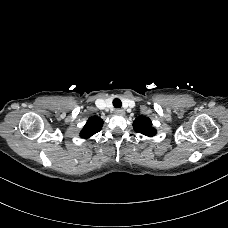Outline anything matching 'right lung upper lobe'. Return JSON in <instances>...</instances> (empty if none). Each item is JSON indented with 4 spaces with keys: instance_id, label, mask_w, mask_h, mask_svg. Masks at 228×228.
<instances>
[{
    "instance_id": "1",
    "label": "right lung upper lobe",
    "mask_w": 228,
    "mask_h": 228,
    "mask_svg": "<svg viewBox=\"0 0 228 228\" xmlns=\"http://www.w3.org/2000/svg\"><path fill=\"white\" fill-rule=\"evenodd\" d=\"M102 125H103V120L100 117L98 116L90 117L87 123L85 124L84 128L80 132V137L85 139L90 138L92 135H94L95 133L101 130Z\"/></svg>"
}]
</instances>
